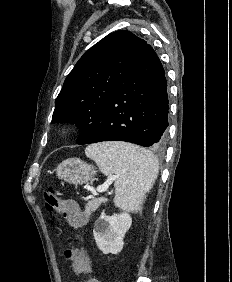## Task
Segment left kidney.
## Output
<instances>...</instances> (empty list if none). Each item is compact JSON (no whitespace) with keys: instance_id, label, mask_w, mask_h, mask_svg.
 Here are the masks:
<instances>
[{"instance_id":"left-kidney-1","label":"left kidney","mask_w":232,"mask_h":282,"mask_svg":"<svg viewBox=\"0 0 232 282\" xmlns=\"http://www.w3.org/2000/svg\"><path fill=\"white\" fill-rule=\"evenodd\" d=\"M132 224L127 213L108 216L103 211L94 225V238L98 248L105 254H117L123 249V238Z\"/></svg>"}]
</instances>
